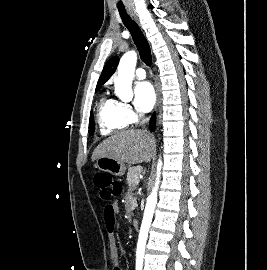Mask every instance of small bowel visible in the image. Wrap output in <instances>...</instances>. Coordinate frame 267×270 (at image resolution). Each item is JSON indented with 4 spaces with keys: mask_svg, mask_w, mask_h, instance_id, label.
I'll return each instance as SVG.
<instances>
[{
    "mask_svg": "<svg viewBox=\"0 0 267 270\" xmlns=\"http://www.w3.org/2000/svg\"><path fill=\"white\" fill-rule=\"evenodd\" d=\"M118 213L119 207L116 203L108 204L104 209V219L109 231L108 243L112 255V270H123V268L119 265L116 259L117 247H116V239L113 234L115 218Z\"/></svg>",
    "mask_w": 267,
    "mask_h": 270,
    "instance_id": "c3829d8e",
    "label": "small bowel"
}]
</instances>
